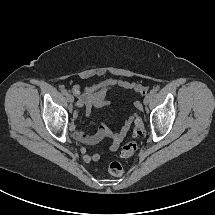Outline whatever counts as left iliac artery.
<instances>
[{
	"instance_id": "left-iliac-artery-1",
	"label": "left iliac artery",
	"mask_w": 215,
	"mask_h": 215,
	"mask_svg": "<svg viewBox=\"0 0 215 215\" xmlns=\"http://www.w3.org/2000/svg\"><path fill=\"white\" fill-rule=\"evenodd\" d=\"M156 93H157V89H155V88H153V89L150 91V95H151V96H154Z\"/></svg>"
}]
</instances>
